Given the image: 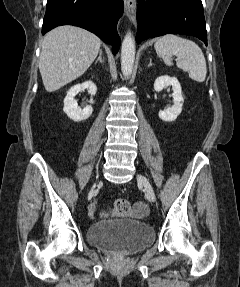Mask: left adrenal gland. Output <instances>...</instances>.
Returning a JSON list of instances; mask_svg holds the SVG:
<instances>
[{"mask_svg":"<svg viewBox=\"0 0 240 287\" xmlns=\"http://www.w3.org/2000/svg\"><path fill=\"white\" fill-rule=\"evenodd\" d=\"M152 66V59H150L148 67Z\"/></svg>","mask_w":240,"mask_h":287,"instance_id":"a2214340","label":"left adrenal gland"}]
</instances>
